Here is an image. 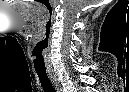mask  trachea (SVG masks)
I'll use <instances>...</instances> for the list:
<instances>
[{"mask_svg":"<svg viewBox=\"0 0 129 92\" xmlns=\"http://www.w3.org/2000/svg\"><path fill=\"white\" fill-rule=\"evenodd\" d=\"M36 73L38 75V78L40 80L41 86L44 90V92H55V89L53 88L46 71H37Z\"/></svg>","mask_w":129,"mask_h":92,"instance_id":"obj_1","label":"trachea"}]
</instances>
